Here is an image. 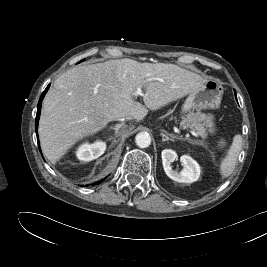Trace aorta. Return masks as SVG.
Instances as JSON below:
<instances>
[{
  "label": "aorta",
  "mask_w": 267,
  "mask_h": 267,
  "mask_svg": "<svg viewBox=\"0 0 267 267\" xmlns=\"http://www.w3.org/2000/svg\"><path fill=\"white\" fill-rule=\"evenodd\" d=\"M135 143L140 148H147L151 144V137L147 132H140L135 137Z\"/></svg>",
  "instance_id": "1"
}]
</instances>
